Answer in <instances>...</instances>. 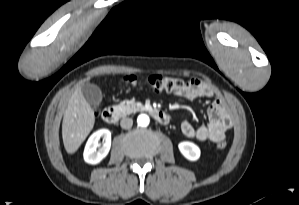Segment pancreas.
<instances>
[{"instance_id":"1","label":"pancreas","mask_w":299,"mask_h":205,"mask_svg":"<svg viewBox=\"0 0 299 205\" xmlns=\"http://www.w3.org/2000/svg\"><path fill=\"white\" fill-rule=\"evenodd\" d=\"M123 115H129L144 110V106L135 100H123L115 106Z\"/></svg>"}]
</instances>
